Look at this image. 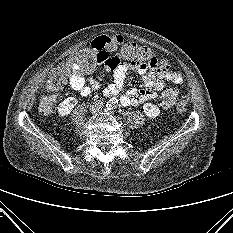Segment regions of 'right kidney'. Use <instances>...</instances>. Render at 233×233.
Returning a JSON list of instances; mask_svg holds the SVG:
<instances>
[{
	"mask_svg": "<svg viewBox=\"0 0 233 233\" xmlns=\"http://www.w3.org/2000/svg\"><path fill=\"white\" fill-rule=\"evenodd\" d=\"M77 99L75 97H68L57 107L60 116H66L71 113L74 106L77 104Z\"/></svg>",
	"mask_w": 233,
	"mask_h": 233,
	"instance_id": "obj_1",
	"label": "right kidney"
}]
</instances>
